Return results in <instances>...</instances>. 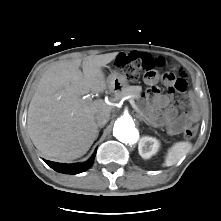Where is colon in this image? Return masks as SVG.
I'll return each mask as SVG.
<instances>
[{
    "label": "colon",
    "mask_w": 221,
    "mask_h": 221,
    "mask_svg": "<svg viewBox=\"0 0 221 221\" xmlns=\"http://www.w3.org/2000/svg\"><path fill=\"white\" fill-rule=\"evenodd\" d=\"M164 63L165 60L162 57H150L145 54L140 55V57L130 54H120L115 61L117 69L132 81H136L141 77H153L156 75L155 68L164 65ZM163 81L171 93L184 92L188 86L186 78L179 77L174 73H165L163 75ZM196 133L197 126L190 125L184 130V137L189 140L192 139Z\"/></svg>",
    "instance_id": "obj_1"
}]
</instances>
